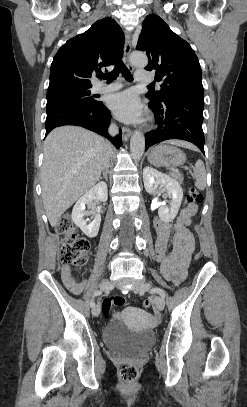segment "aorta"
I'll return each instance as SVG.
<instances>
[{"label": "aorta", "mask_w": 247, "mask_h": 407, "mask_svg": "<svg viewBox=\"0 0 247 407\" xmlns=\"http://www.w3.org/2000/svg\"><path fill=\"white\" fill-rule=\"evenodd\" d=\"M130 63L136 67H145L148 64V58L145 53L133 52L130 55ZM144 149V134L140 131L134 132L130 139V151L133 159L139 161L143 156Z\"/></svg>", "instance_id": "762f6f07"}]
</instances>
